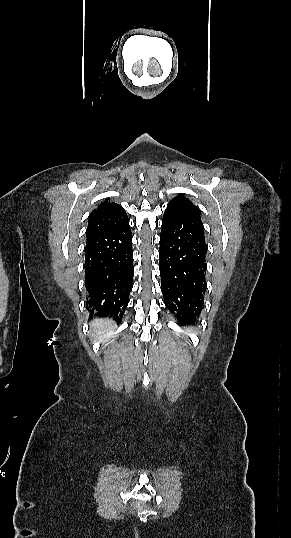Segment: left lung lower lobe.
Listing matches in <instances>:
<instances>
[{"mask_svg":"<svg viewBox=\"0 0 291 538\" xmlns=\"http://www.w3.org/2000/svg\"><path fill=\"white\" fill-rule=\"evenodd\" d=\"M207 244L201 220L166 209L160 234L161 292L178 320L197 323L207 289Z\"/></svg>","mask_w":291,"mask_h":538,"instance_id":"1","label":"left lung lower lobe"}]
</instances>
